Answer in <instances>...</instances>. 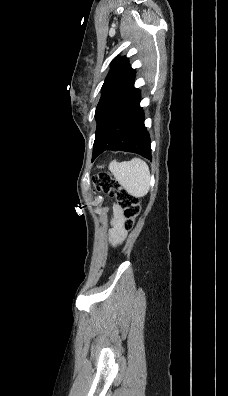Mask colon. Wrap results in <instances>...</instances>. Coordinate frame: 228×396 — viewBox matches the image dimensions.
I'll return each mask as SVG.
<instances>
[{
    "label": "colon",
    "mask_w": 228,
    "mask_h": 396,
    "mask_svg": "<svg viewBox=\"0 0 228 396\" xmlns=\"http://www.w3.org/2000/svg\"><path fill=\"white\" fill-rule=\"evenodd\" d=\"M92 183L96 192L116 198L125 219V227L131 229L141 212L138 198L125 190L116 179L104 172L94 175Z\"/></svg>",
    "instance_id": "colon-1"
}]
</instances>
